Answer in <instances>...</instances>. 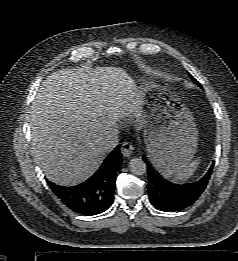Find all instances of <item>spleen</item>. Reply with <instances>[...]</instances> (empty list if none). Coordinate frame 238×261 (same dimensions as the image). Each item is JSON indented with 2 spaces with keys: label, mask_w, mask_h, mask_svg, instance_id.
I'll list each match as a JSON object with an SVG mask.
<instances>
[{
  "label": "spleen",
  "mask_w": 238,
  "mask_h": 261,
  "mask_svg": "<svg viewBox=\"0 0 238 261\" xmlns=\"http://www.w3.org/2000/svg\"><path fill=\"white\" fill-rule=\"evenodd\" d=\"M199 163H200L199 159L192 161L189 165H187L185 168H183L180 172H178L175 175L174 181H176V182L181 181L182 182V181H186L187 179L192 177V175L196 171Z\"/></svg>",
  "instance_id": "3e777b00"
}]
</instances>
